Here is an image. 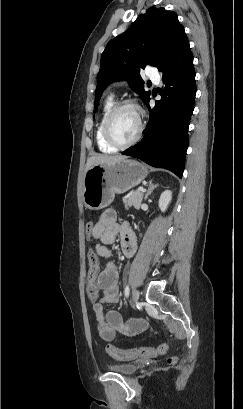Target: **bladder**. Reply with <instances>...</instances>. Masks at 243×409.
<instances>
[{
  "label": "bladder",
  "instance_id": "1",
  "mask_svg": "<svg viewBox=\"0 0 243 409\" xmlns=\"http://www.w3.org/2000/svg\"><path fill=\"white\" fill-rule=\"evenodd\" d=\"M112 372L119 373L124 376H132L139 368L138 364H112L108 366Z\"/></svg>",
  "mask_w": 243,
  "mask_h": 409
}]
</instances>
